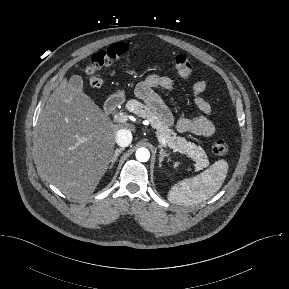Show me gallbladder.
Listing matches in <instances>:
<instances>
[{"mask_svg":"<svg viewBox=\"0 0 289 289\" xmlns=\"http://www.w3.org/2000/svg\"><path fill=\"white\" fill-rule=\"evenodd\" d=\"M69 83L75 87L76 89H82L83 87V80L80 76L78 75H73L71 76Z\"/></svg>","mask_w":289,"mask_h":289,"instance_id":"1","label":"gallbladder"}]
</instances>
